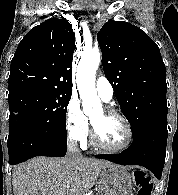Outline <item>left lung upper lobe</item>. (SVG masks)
Instances as JSON below:
<instances>
[{
    "label": "left lung upper lobe",
    "mask_w": 178,
    "mask_h": 195,
    "mask_svg": "<svg viewBox=\"0 0 178 195\" xmlns=\"http://www.w3.org/2000/svg\"><path fill=\"white\" fill-rule=\"evenodd\" d=\"M103 70L132 128L133 142L167 131L166 71L156 43L140 28L108 21L97 34Z\"/></svg>",
    "instance_id": "5c2ea615"
}]
</instances>
